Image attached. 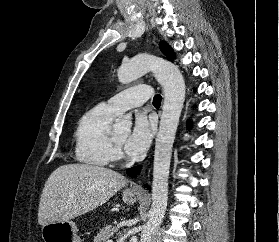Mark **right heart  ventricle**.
<instances>
[{
  "label": "right heart ventricle",
  "instance_id": "obj_1",
  "mask_svg": "<svg viewBox=\"0 0 279 242\" xmlns=\"http://www.w3.org/2000/svg\"><path fill=\"white\" fill-rule=\"evenodd\" d=\"M104 103L86 111L75 131V156L79 162L104 167L116 159L110 126L116 117Z\"/></svg>",
  "mask_w": 279,
  "mask_h": 242
}]
</instances>
